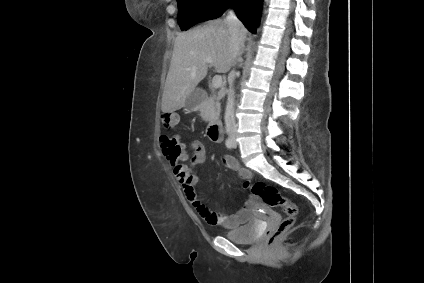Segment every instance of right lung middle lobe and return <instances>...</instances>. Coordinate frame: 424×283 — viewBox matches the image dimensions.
Here are the masks:
<instances>
[{"label": "right lung middle lobe", "instance_id": "obj_1", "mask_svg": "<svg viewBox=\"0 0 424 283\" xmlns=\"http://www.w3.org/2000/svg\"><path fill=\"white\" fill-rule=\"evenodd\" d=\"M178 24L181 30L220 17L234 0H177Z\"/></svg>", "mask_w": 424, "mask_h": 283}]
</instances>
